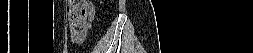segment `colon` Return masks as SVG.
<instances>
[{
	"label": "colon",
	"mask_w": 253,
	"mask_h": 53,
	"mask_svg": "<svg viewBox=\"0 0 253 53\" xmlns=\"http://www.w3.org/2000/svg\"><path fill=\"white\" fill-rule=\"evenodd\" d=\"M89 1H70L69 24L76 29H90L92 21L90 19L91 8L88 6Z\"/></svg>",
	"instance_id": "1"
}]
</instances>
